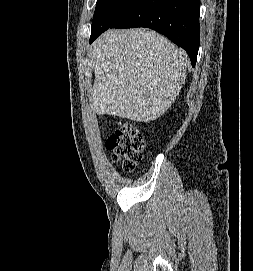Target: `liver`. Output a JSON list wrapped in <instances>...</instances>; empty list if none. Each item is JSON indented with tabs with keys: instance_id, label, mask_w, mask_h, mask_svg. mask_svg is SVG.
<instances>
[{
	"instance_id": "liver-1",
	"label": "liver",
	"mask_w": 253,
	"mask_h": 271,
	"mask_svg": "<svg viewBox=\"0 0 253 271\" xmlns=\"http://www.w3.org/2000/svg\"><path fill=\"white\" fill-rule=\"evenodd\" d=\"M91 54L95 74L91 102L100 115L156 120L185 83V51L152 30H108L92 44Z\"/></svg>"
}]
</instances>
